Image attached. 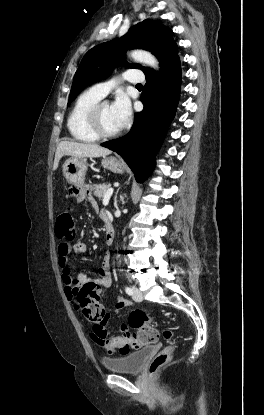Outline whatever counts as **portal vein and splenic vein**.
Returning <instances> with one entry per match:
<instances>
[{"instance_id":"1","label":"portal vein and splenic vein","mask_w":264,"mask_h":415,"mask_svg":"<svg viewBox=\"0 0 264 415\" xmlns=\"http://www.w3.org/2000/svg\"><path fill=\"white\" fill-rule=\"evenodd\" d=\"M113 191H114V189H113V188H109V189L107 190V192L105 193L104 198H103V205H104V206H107V205H108L109 200H110V197H111V196H112V194H113Z\"/></svg>"}]
</instances>
